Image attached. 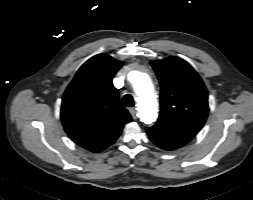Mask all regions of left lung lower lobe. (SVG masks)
Here are the masks:
<instances>
[{
    "instance_id": "left-lung-lower-lobe-1",
    "label": "left lung lower lobe",
    "mask_w": 253,
    "mask_h": 200,
    "mask_svg": "<svg viewBox=\"0 0 253 200\" xmlns=\"http://www.w3.org/2000/svg\"><path fill=\"white\" fill-rule=\"evenodd\" d=\"M151 141L161 149L175 150L187 144L194 136L193 133L175 130L159 125L147 128Z\"/></svg>"
}]
</instances>
